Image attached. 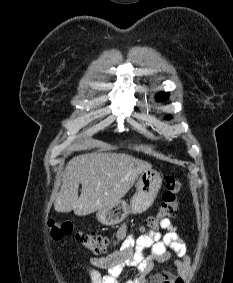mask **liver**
<instances>
[{
	"label": "liver",
	"instance_id": "obj_1",
	"mask_svg": "<svg viewBox=\"0 0 233 283\" xmlns=\"http://www.w3.org/2000/svg\"><path fill=\"white\" fill-rule=\"evenodd\" d=\"M151 165L129 154H84L68 162L60 191L54 197L57 212L74 211L85 216L113 206L123 198L144 170ZM79 184L82 191L78 197Z\"/></svg>",
	"mask_w": 233,
	"mask_h": 283
}]
</instances>
